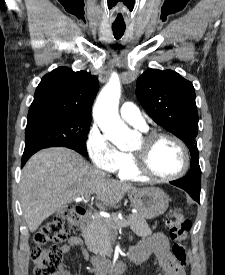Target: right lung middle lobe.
Listing matches in <instances>:
<instances>
[{"instance_id": "dd1d6c3e", "label": "right lung middle lobe", "mask_w": 225, "mask_h": 275, "mask_svg": "<svg viewBox=\"0 0 225 275\" xmlns=\"http://www.w3.org/2000/svg\"><path fill=\"white\" fill-rule=\"evenodd\" d=\"M91 119L74 115H39L28 117L24 153L46 147L62 146L87 156L85 140Z\"/></svg>"}]
</instances>
